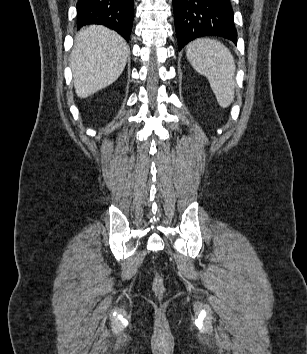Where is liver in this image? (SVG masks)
I'll list each match as a JSON object with an SVG mask.
<instances>
[{"label":"liver","instance_id":"liver-1","mask_svg":"<svg viewBox=\"0 0 307 354\" xmlns=\"http://www.w3.org/2000/svg\"><path fill=\"white\" fill-rule=\"evenodd\" d=\"M127 57L128 45L115 31L101 25L81 29L70 57L77 96L87 98L114 83Z\"/></svg>","mask_w":307,"mask_h":354}]
</instances>
